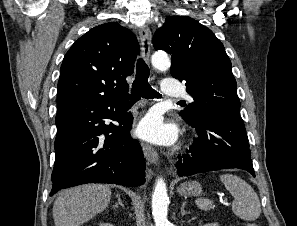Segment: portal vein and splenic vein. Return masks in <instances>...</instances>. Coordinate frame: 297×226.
Segmentation results:
<instances>
[{"label": "portal vein and splenic vein", "instance_id": "1", "mask_svg": "<svg viewBox=\"0 0 297 226\" xmlns=\"http://www.w3.org/2000/svg\"><path fill=\"white\" fill-rule=\"evenodd\" d=\"M223 203H224V204H226V203H227V200H226V199H224Z\"/></svg>", "mask_w": 297, "mask_h": 226}]
</instances>
